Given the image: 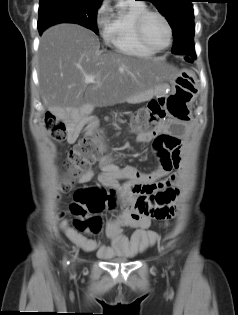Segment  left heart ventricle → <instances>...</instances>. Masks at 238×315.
Masks as SVG:
<instances>
[{"mask_svg": "<svg viewBox=\"0 0 238 315\" xmlns=\"http://www.w3.org/2000/svg\"><path fill=\"white\" fill-rule=\"evenodd\" d=\"M146 39L155 47H164L168 42V31L164 22L158 16H149L145 22Z\"/></svg>", "mask_w": 238, "mask_h": 315, "instance_id": "left-heart-ventricle-1", "label": "left heart ventricle"}]
</instances>
